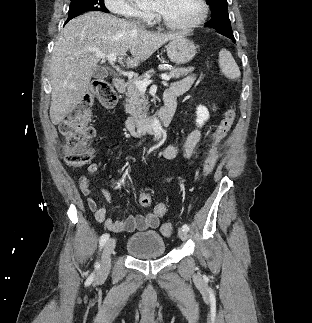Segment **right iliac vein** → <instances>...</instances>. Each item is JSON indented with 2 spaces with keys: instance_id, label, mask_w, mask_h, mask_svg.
I'll return each instance as SVG.
<instances>
[{
  "instance_id": "right-iliac-vein-1",
  "label": "right iliac vein",
  "mask_w": 312,
  "mask_h": 323,
  "mask_svg": "<svg viewBox=\"0 0 312 323\" xmlns=\"http://www.w3.org/2000/svg\"><path fill=\"white\" fill-rule=\"evenodd\" d=\"M116 245V241L114 238H110L106 241L102 253V260H101V267L99 269L97 278L104 276L107 274V272L110 269L111 263H110V257L111 253L113 252Z\"/></svg>"
}]
</instances>
